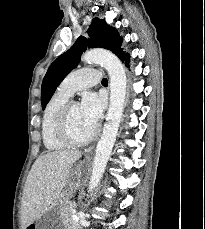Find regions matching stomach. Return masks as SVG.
<instances>
[{"label": "stomach", "mask_w": 205, "mask_h": 229, "mask_svg": "<svg viewBox=\"0 0 205 229\" xmlns=\"http://www.w3.org/2000/svg\"><path fill=\"white\" fill-rule=\"evenodd\" d=\"M88 160L79 162L70 172L69 183L73 187L81 184L87 172ZM59 207L52 206L40 219L29 224L26 229H65Z\"/></svg>", "instance_id": "0dacf381"}]
</instances>
